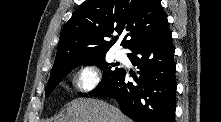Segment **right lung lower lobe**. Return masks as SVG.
<instances>
[{
  "label": "right lung lower lobe",
  "instance_id": "1",
  "mask_svg": "<svg viewBox=\"0 0 221 122\" xmlns=\"http://www.w3.org/2000/svg\"><path fill=\"white\" fill-rule=\"evenodd\" d=\"M174 46L168 22L128 54L140 70L136 83L127 81L124 69L108 87L95 93L114 98L121 111L135 122H175Z\"/></svg>",
  "mask_w": 221,
  "mask_h": 122
}]
</instances>
